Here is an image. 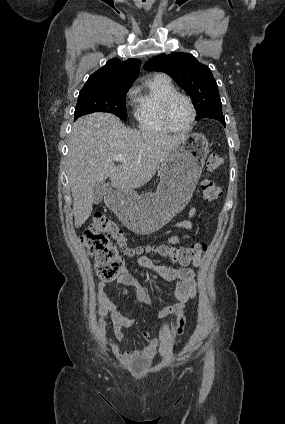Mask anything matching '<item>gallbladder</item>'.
Returning <instances> with one entry per match:
<instances>
[{
  "instance_id": "bac80fb5",
  "label": "gallbladder",
  "mask_w": 285,
  "mask_h": 424,
  "mask_svg": "<svg viewBox=\"0 0 285 424\" xmlns=\"http://www.w3.org/2000/svg\"><path fill=\"white\" fill-rule=\"evenodd\" d=\"M106 188H107V185L104 181L97 182L93 186V203L94 204H99L103 200Z\"/></svg>"
}]
</instances>
